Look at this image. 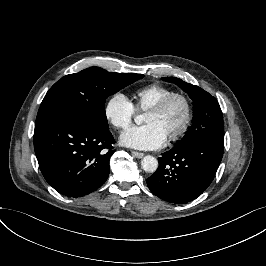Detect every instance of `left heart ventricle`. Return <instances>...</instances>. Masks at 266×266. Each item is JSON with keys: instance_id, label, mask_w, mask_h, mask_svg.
<instances>
[{"instance_id": "obj_1", "label": "left heart ventricle", "mask_w": 266, "mask_h": 266, "mask_svg": "<svg viewBox=\"0 0 266 266\" xmlns=\"http://www.w3.org/2000/svg\"><path fill=\"white\" fill-rule=\"evenodd\" d=\"M187 108L183 100L175 99L164 112L147 111L146 123L158 125L166 137L174 135L186 119Z\"/></svg>"}]
</instances>
